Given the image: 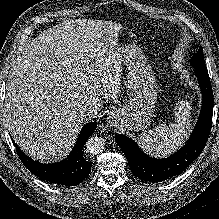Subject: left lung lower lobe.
<instances>
[{"mask_svg":"<svg viewBox=\"0 0 219 219\" xmlns=\"http://www.w3.org/2000/svg\"><path fill=\"white\" fill-rule=\"evenodd\" d=\"M202 89L200 117L187 144L174 155L164 158H150L137 144L124 135H116L115 141L125 154L132 173L141 180L161 182L183 172L202 152L208 140L213 115V92L208 71L195 68Z\"/></svg>","mask_w":219,"mask_h":219,"instance_id":"left-lung-lower-lobe-1","label":"left lung lower lobe"}]
</instances>
